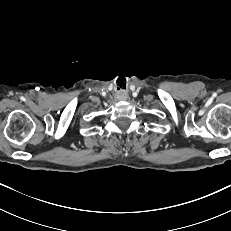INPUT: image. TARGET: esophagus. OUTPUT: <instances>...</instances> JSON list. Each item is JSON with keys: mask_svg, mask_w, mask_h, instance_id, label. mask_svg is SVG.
Segmentation results:
<instances>
[{"mask_svg": "<svg viewBox=\"0 0 231 231\" xmlns=\"http://www.w3.org/2000/svg\"><path fill=\"white\" fill-rule=\"evenodd\" d=\"M127 94H125V93H121L120 94V99H122V100H126L127 99Z\"/></svg>", "mask_w": 231, "mask_h": 231, "instance_id": "esophagus-1", "label": "esophagus"}]
</instances>
